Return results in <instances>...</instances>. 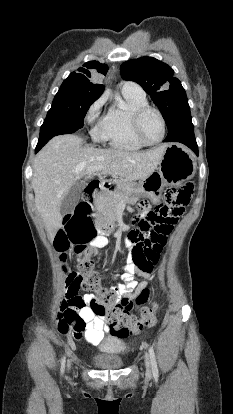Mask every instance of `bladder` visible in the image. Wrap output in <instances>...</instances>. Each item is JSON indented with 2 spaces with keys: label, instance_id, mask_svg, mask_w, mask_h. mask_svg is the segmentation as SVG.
<instances>
[{
  "label": "bladder",
  "instance_id": "bladder-1",
  "mask_svg": "<svg viewBox=\"0 0 233 414\" xmlns=\"http://www.w3.org/2000/svg\"><path fill=\"white\" fill-rule=\"evenodd\" d=\"M125 344L119 336L112 335L100 345L101 354L91 358V364L100 370H116L124 366V359L119 355Z\"/></svg>",
  "mask_w": 233,
  "mask_h": 414
}]
</instances>
